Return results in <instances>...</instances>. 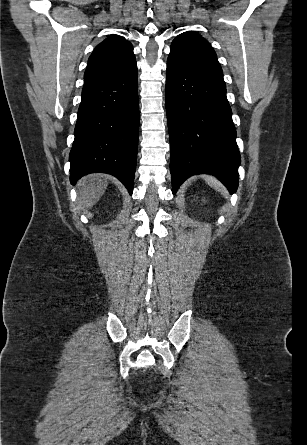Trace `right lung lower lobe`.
<instances>
[{
    "mask_svg": "<svg viewBox=\"0 0 307 445\" xmlns=\"http://www.w3.org/2000/svg\"><path fill=\"white\" fill-rule=\"evenodd\" d=\"M137 64L128 70L83 86L69 155L70 181L102 172L117 177L133 192L139 105Z\"/></svg>",
    "mask_w": 307,
    "mask_h": 445,
    "instance_id": "1",
    "label": "right lung lower lobe"
}]
</instances>
